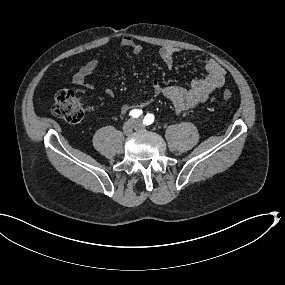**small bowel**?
<instances>
[{
    "label": "small bowel",
    "mask_w": 285,
    "mask_h": 285,
    "mask_svg": "<svg viewBox=\"0 0 285 285\" xmlns=\"http://www.w3.org/2000/svg\"><path fill=\"white\" fill-rule=\"evenodd\" d=\"M121 46L130 49L137 55L142 53L143 50V47L131 37H124L121 40ZM178 52L179 50L174 47H163L159 54L162 61L170 66L173 64L174 56ZM198 61L206 71L204 77L192 80L187 88L177 85L162 86L159 82L155 81L152 85L151 99L138 104H124L121 107V112H128L135 107H144L152 100V98L160 94L171 101L177 112L204 103L213 91L220 89L224 85L226 72L219 63L210 57L199 58ZM97 67L98 61L95 59L90 60L75 73L73 76V83L87 90H92L94 85L87 79L96 71ZM106 94L112 97L114 95V90L112 88H107Z\"/></svg>",
    "instance_id": "obj_1"
}]
</instances>
